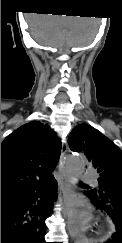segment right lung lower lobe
<instances>
[{"label":"right lung lower lobe","instance_id":"right-lung-lower-lobe-1","mask_svg":"<svg viewBox=\"0 0 122 243\" xmlns=\"http://www.w3.org/2000/svg\"><path fill=\"white\" fill-rule=\"evenodd\" d=\"M53 175L1 196V243H46L45 220L56 199Z\"/></svg>","mask_w":122,"mask_h":243}]
</instances>
